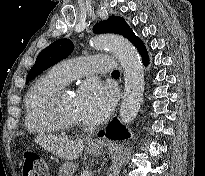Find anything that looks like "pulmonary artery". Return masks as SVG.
Here are the masks:
<instances>
[{"label":"pulmonary artery","instance_id":"obj_1","mask_svg":"<svg viewBox=\"0 0 205 176\" xmlns=\"http://www.w3.org/2000/svg\"><path fill=\"white\" fill-rule=\"evenodd\" d=\"M116 69L115 59L109 55H94L61 61L51 72L67 84L75 78L88 74H106Z\"/></svg>","mask_w":205,"mask_h":176}]
</instances>
